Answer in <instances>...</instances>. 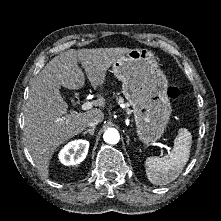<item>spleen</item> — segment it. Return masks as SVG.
<instances>
[{
    "label": "spleen",
    "instance_id": "3e777b00",
    "mask_svg": "<svg viewBox=\"0 0 221 221\" xmlns=\"http://www.w3.org/2000/svg\"><path fill=\"white\" fill-rule=\"evenodd\" d=\"M191 144V133L186 128L179 129L174 147L168 155L146 159L148 180L154 185H166L177 179L189 160Z\"/></svg>",
    "mask_w": 221,
    "mask_h": 221
}]
</instances>
